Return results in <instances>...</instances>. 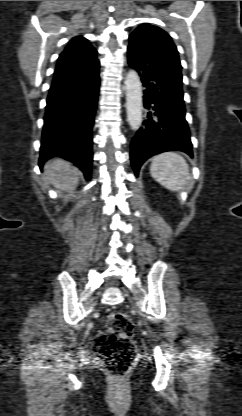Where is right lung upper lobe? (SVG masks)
<instances>
[{"instance_id":"cb5924a9","label":"right lung upper lobe","mask_w":242,"mask_h":416,"mask_svg":"<svg viewBox=\"0 0 242 416\" xmlns=\"http://www.w3.org/2000/svg\"><path fill=\"white\" fill-rule=\"evenodd\" d=\"M97 51L83 37L73 38L58 58L53 82L85 77L99 68Z\"/></svg>"}]
</instances>
